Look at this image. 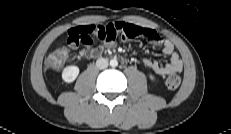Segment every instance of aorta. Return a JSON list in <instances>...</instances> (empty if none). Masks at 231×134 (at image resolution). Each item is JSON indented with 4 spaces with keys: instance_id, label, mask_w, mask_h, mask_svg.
Instances as JSON below:
<instances>
[{
    "instance_id": "1",
    "label": "aorta",
    "mask_w": 231,
    "mask_h": 134,
    "mask_svg": "<svg viewBox=\"0 0 231 134\" xmlns=\"http://www.w3.org/2000/svg\"><path fill=\"white\" fill-rule=\"evenodd\" d=\"M110 66L111 67H116V66H118V61H117V59H111L110 60Z\"/></svg>"
}]
</instances>
